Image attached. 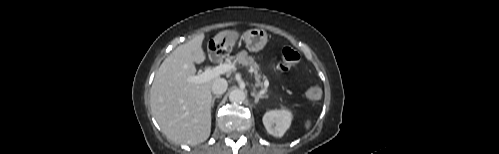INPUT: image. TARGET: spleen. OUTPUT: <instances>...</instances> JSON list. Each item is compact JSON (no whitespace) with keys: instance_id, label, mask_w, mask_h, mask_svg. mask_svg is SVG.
I'll use <instances>...</instances> for the list:
<instances>
[{"instance_id":"spleen-1","label":"spleen","mask_w":499,"mask_h":154,"mask_svg":"<svg viewBox=\"0 0 499 154\" xmlns=\"http://www.w3.org/2000/svg\"><path fill=\"white\" fill-rule=\"evenodd\" d=\"M311 125V122L310 121H307L306 124H305V127L308 129Z\"/></svg>"}]
</instances>
